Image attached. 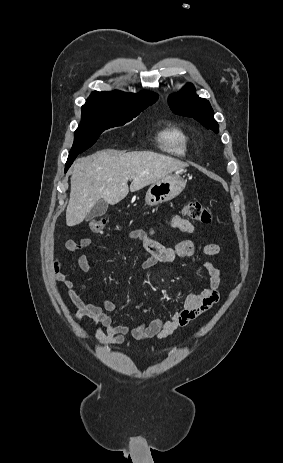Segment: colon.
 I'll use <instances>...</instances> for the list:
<instances>
[{"instance_id": "1", "label": "colon", "mask_w": 283, "mask_h": 463, "mask_svg": "<svg viewBox=\"0 0 283 463\" xmlns=\"http://www.w3.org/2000/svg\"><path fill=\"white\" fill-rule=\"evenodd\" d=\"M183 214L201 224H208L212 221L211 211L203 204L195 201L185 202ZM105 226L106 219L103 217H95L89 220V228L94 233H102Z\"/></svg>"}]
</instances>
